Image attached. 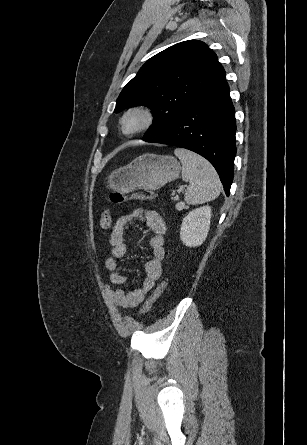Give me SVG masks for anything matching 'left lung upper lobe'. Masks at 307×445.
Returning a JSON list of instances; mask_svg holds the SVG:
<instances>
[{
  "instance_id": "obj_1",
  "label": "left lung upper lobe",
  "mask_w": 307,
  "mask_h": 445,
  "mask_svg": "<svg viewBox=\"0 0 307 445\" xmlns=\"http://www.w3.org/2000/svg\"><path fill=\"white\" fill-rule=\"evenodd\" d=\"M225 81L216 54L197 40L175 44L150 58L120 93L115 112L144 105L154 120L143 140L166 128L184 110Z\"/></svg>"
}]
</instances>
